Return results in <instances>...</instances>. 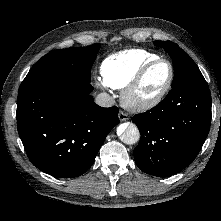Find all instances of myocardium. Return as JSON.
<instances>
[{
  "instance_id": "1",
  "label": "myocardium",
  "mask_w": 221,
  "mask_h": 221,
  "mask_svg": "<svg viewBox=\"0 0 221 221\" xmlns=\"http://www.w3.org/2000/svg\"><path fill=\"white\" fill-rule=\"evenodd\" d=\"M158 63H166L169 67V75L164 86L153 96L148 98H140L137 95L140 85L148 72ZM174 79V68L172 63L165 59L158 57L147 64H145L127 84L122 92L123 105L132 111H145L157 106L169 92Z\"/></svg>"
}]
</instances>
